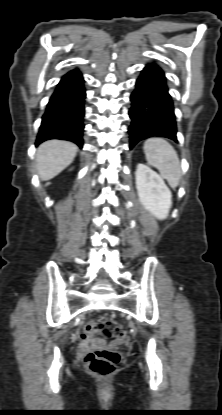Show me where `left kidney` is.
Masks as SVG:
<instances>
[{"mask_svg": "<svg viewBox=\"0 0 222 415\" xmlns=\"http://www.w3.org/2000/svg\"><path fill=\"white\" fill-rule=\"evenodd\" d=\"M135 176L137 193L144 208L159 220L167 218L172 194L163 179L144 164L137 165Z\"/></svg>", "mask_w": 222, "mask_h": 415, "instance_id": "obj_1", "label": "left kidney"}]
</instances>
